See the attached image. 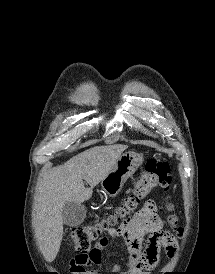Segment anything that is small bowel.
Masks as SVG:
<instances>
[{
	"instance_id": "obj_1",
	"label": "small bowel",
	"mask_w": 215,
	"mask_h": 274,
	"mask_svg": "<svg viewBox=\"0 0 215 274\" xmlns=\"http://www.w3.org/2000/svg\"><path fill=\"white\" fill-rule=\"evenodd\" d=\"M162 223L156 214L155 205L147 201L141 211L134 214L117 228L107 229V235L121 240L127 250V261L124 266H115L113 272L118 274H151V270L160 260L164 249L169 257L176 251L175 242L164 237ZM108 245V239L101 237L87 254L75 256L69 267L71 274H102L99 269L102 253Z\"/></svg>"
}]
</instances>
